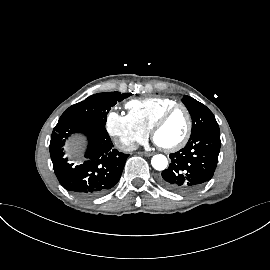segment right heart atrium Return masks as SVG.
I'll use <instances>...</instances> for the list:
<instances>
[{"instance_id":"d8ad5b80","label":"right heart atrium","mask_w":270,"mask_h":270,"mask_svg":"<svg viewBox=\"0 0 270 270\" xmlns=\"http://www.w3.org/2000/svg\"><path fill=\"white\" fill-rule=\"evenodd\" d=\"M106 129L119 144L132 150L146 141L148 131L141 127L129 114L111 111L106 117Z\"/></svg>"}]
</instances>
